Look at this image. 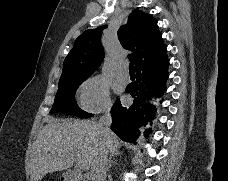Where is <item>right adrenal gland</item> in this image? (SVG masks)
<instances>
[{"mask_svg": "<svg viewBox=\"0 0 228 181\" xmlns=\"http://www.w3.org/2000/svg\"><path fill=\"white\" fill-rule=\"evenodd\" d=\"M120 155H122V153H120ZM113 157H114V155H111L110 161L108 163L107 171H110L111 167H115V165H118L117 161H114ZM117 157H118V155H117Z\"/></svg>", "mask_w": 228, "mask_h": 181, "instance_id": "1", "label": "right adrenal gland"}]
</instances>
